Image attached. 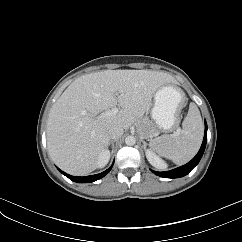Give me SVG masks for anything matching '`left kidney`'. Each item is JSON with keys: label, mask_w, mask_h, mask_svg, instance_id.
Segmentation results:
<instances>
[{"label": "left kidney", "mask_w": 242, "mask_h": 242, "mask_svg": "<svg viewBox=\"0 0 242 242\" xmlns=\"http://www.w3.org/2000/svg\"><path fill=\"white\" fill-rule=\"evenodd\" d=\"M146 158L149 163L157 169H166L167 164L151 149L145 150Z\"/></svg>", "instance_id": "1"}]
</instances>
